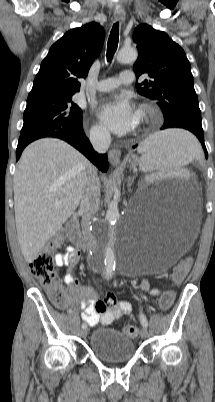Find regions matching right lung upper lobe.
Wrapping results in <instances>:
<instances>
[{"instance_id":"right-lung-upper-lobe-1","label":"right lung upper lobe","mask_w":215,"mask_h":402,"mask_svg":"<svg viewBox=\"0 0 215 402\" xmlns=\"http://www.w3.org/2000/svg\"><path fill=\"white\" fill-rule=\"evenodd\" d=\"M105 33L97 23L74 28L54 43L36 75L29 96L57 93L75 94L79 78H85L99 54Z\"/></svg>"}]
</instances>
